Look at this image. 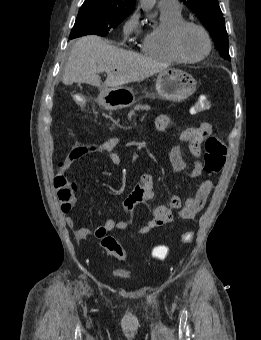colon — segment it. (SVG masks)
I'll use <instances>...</instances> for the list:
<instances>
[{
  "mask_svg": "<svg viewBox=\"0 0 261 340\" xmlns=\"http://www.w3.org/2000/svg\"><path fill=\"white\" fill-rule=\"evenodd\" d=\"M210 107L211 101L207 97L201 96L193 107V112L199 113ZM204 147V171L208 174L218 173L223 168L226 160L227 149L225 143L217 136H210L206 139ZM60 166L62 167L63 163ZM54 186L62 211L68 213L76 203L75 184L60 173L54 179ZM192 238V232H185L181 235V242L190 243ZM101 243L109 255L122 261L126 259V251L113 236L103 237ZM169 252L167 246L157 245L152 250V257L158 261H164L169 256Z\"/></svg>",
  "mask_w": 261,
  "mask_h": 340,
  "instance_id": "colon-1",
  "label": "colon"
}]
</instances>
